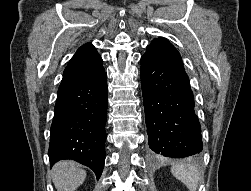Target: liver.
Returning a JSON list of instances; mask_svg holds the SVG:
<instances>
[{
	"mask_svg": "<svg viewBox=\"0 0 251 191\" xmlns=\"http://www.w3.org/2000/svg\"><path fill=\"white\" fill-rule=\"evenodd\" d=\"M86 177L85 169H81L71 159L57 161L52 167V181L57 191H74Z\"/></svg>",
	"mask_w": 251,
	"mask_h": 191,
	"instance_id": "obj_1",
	"label": "liver"
}]
</instances>
